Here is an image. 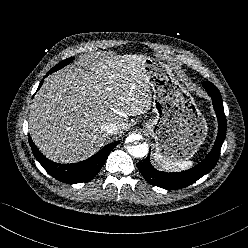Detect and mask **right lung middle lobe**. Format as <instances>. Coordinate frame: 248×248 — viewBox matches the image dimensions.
<instances>
[{
    "mask_svg": "<svg viewBox=\"0 0 248 248\" xmlns=\"http://www.w3.org/2000/svg\"><path fill=\"white\" fill-rule=\"evenodd\" d=\"M73 59H74L73 57L68 58V59H66V60H64V61H62V62H60L59 64H57V65H56L55 67H53L52 69H53L54 71L59 70V69H61L62 67H64L65 65L69 64Z\"/></svg>",
    "mask_w": 248,
    "mask_h": 248,
    "instance_id": "1",
    "label": "right lung middle lobe"
}]
</instances>
